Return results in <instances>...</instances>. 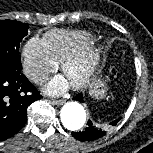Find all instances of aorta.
<instances>
[{"label": "aorta", "mask_w": 153, "mask_h": 153, "mask_svg": "<svg viewBox=\"0 0 153 153\" xmlns=\"http://www.w3.org/2000/svg\"><path fill=\"white\" fill-rule=\"evenodd\" d=\"M60 117L63 126L70 131L80 130L87 118L84 107L76 101L64 104L60 112Z\"/></svg>", "instance_id": "obj_1"}]
</instances>
